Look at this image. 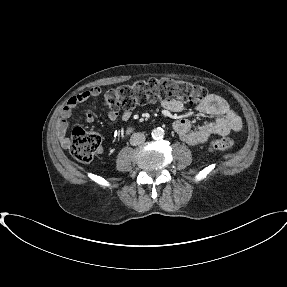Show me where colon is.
I'll return each instance as SVG.
<instances>
[{
  "label": "colon",
  "mask_w": 287,
  "mask_h": 287,
  "mask_svg": "<svg viewBox=\"0 0 287 287\" xmlns=\"http://www.w3.org/2000/svg\"><path fill=\"white\" fill-rule=\"evenodd\" d=\"M209 97L208 91L199 85L173 79H149L134 82L109 90L104 96V102L116 110H130L136 105H144L158 100H177L189 104H201ZM101 137L96 132L76 127L72 130L69 140L71 155L79 162H89L101 149ZM234 146V140L229 137L214 139L209 143L211 151L224 152Z\"/></svg>",
  "instance_id": "5ec220e1"
}]
</instances>
